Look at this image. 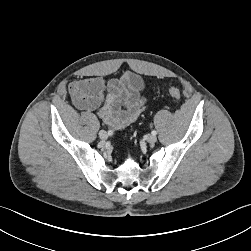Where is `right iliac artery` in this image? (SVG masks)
I'll return each mask as SVG.
<instances>
[{
  "instance_id": "right-iliac-artery-1",
  "label": "right iliac artery",
  "mask_w": 251,
  "mask_h": 251,
  "mask_svg": "<svg viewBox=\"0 0 251 251\" xmlns=\"http://www.w3.org/2000/svg\"><path fill=\"white\" fill-rule=\"evenodd\" d=\"M112 134H113L112 130H109L108 135H112Z\"/></svg>"
}]
</instances>
